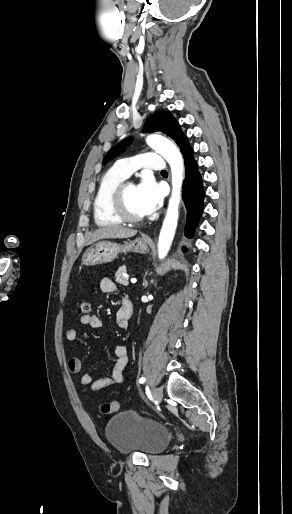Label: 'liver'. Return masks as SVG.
<instances>
[{
	"label": "liver",
	"mask_w": 292,
	"mask_h": 514,
	"mask_svg": "<svg viewBox=\"0 0 292 514\" xmlns=\"http://www.w3.org/2000/svg\"><path fill=\"white\" fill-rule=\"evenodd\" d=\"M137 234V230H129L124 226H102L96 232H93L89 238L88 244L98 242V240H105V238H132Z\"/></svg>",
	"instance_id": "6515ba94"
}]
</instances>
